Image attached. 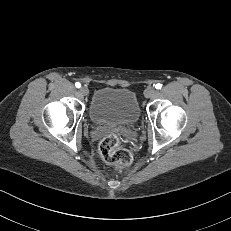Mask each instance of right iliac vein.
I'll return each instance as SVG.
<instances>
[{"label": "right iliac vein", "instance_id": "right-iliac-vein-1", "mask_svg": "<svg viewBox=\"0 0 231 231\" xmlns=\"http://www.w3.org/2000/svg\"><path fill=\"white\" fill-rule=\"evenodd\" d=\"M80 93H81L82 95L86 96V95L89 94V90H88L87 87H84V86H83V87L80 88Z\"/></svg>", "mask_w": 231, "mask_h": 231}]
</instances>
